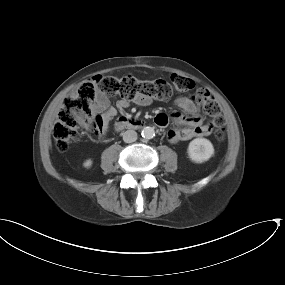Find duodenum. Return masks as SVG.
I'll list each match as a JSON object with an SVG mask.
<instances>
[{"label": "duodenum", "mask_w": 285, "mask_h": 285, "mask_svg": "<svg viewBox=\"0 0 285 285\" xmlns=\"http://www.w3.org/2000/svg\"><path fill=\"white\" fill-rule=\"evenodd\" d=\"M141 126L142 122L128 117H121L114 124V128L117 132L124 129H138Z\"/></svg>", "instance_id": "1"}]
</instances>
